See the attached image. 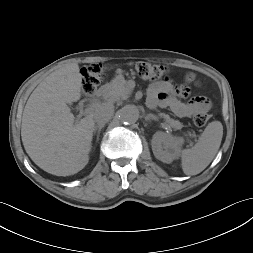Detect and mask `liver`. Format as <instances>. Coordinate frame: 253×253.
<instances>
[{"label": "liver", "instance_id": "6515ba94", "mask_svg": "<svg viewBox=\"0 0 253 253\" xmlns=\"http://www.w3.org/2000/svg\"><path fill=\"white\" fill-rule=\"evenodd\" d=\"M82 75L77 63L48 75L30 95L22 116L21 137L26 153L44 171L69 176L89 162L94 113L75 121L68 104L81 98Z\"/></svg>", "mask_w": 253, "mask_h": 253}]
</instances>
